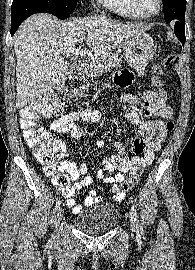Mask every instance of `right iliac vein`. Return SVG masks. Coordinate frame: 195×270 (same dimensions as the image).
<instances>
[{
    "mask_svg": "<svg viewBox=\"0 0 195 270\" xmlns=\"http://www.w3.org/2000/svg\"><path fill=\"white\" fill-rule=\"evenodd\" d=\"M62 217H63V209L59 208L57 211V216H56V227L59 226L60 221L62 220Z\"/></svg>",
    "mask_w": 195,
    "mask_h": 270,
    "instance_id": "obj_1",
    "label": "right iliac vein"
}]
</instances>
